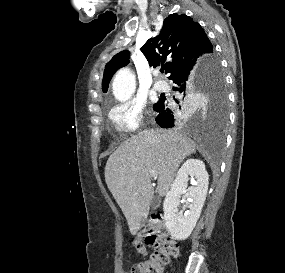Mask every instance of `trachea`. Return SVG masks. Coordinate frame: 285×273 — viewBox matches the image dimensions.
I'll use <instances>...</instances> for the list:
<instances>
[{
  "instance_id": "3493384b",
  "label": "trachea",
  "mask_w": 285,
  "mask_h": 273,
  "mask_svg": "<svg viewBox=\"0 0 285 273\" xmlns=\"http://www.w3.org/2000/svg\"><path fill=\"white\" fill-rule=\"evenodd\" d=\"M160 72H161V73H164V68L160 69Z\"/></svg>"
}]
</instances>
